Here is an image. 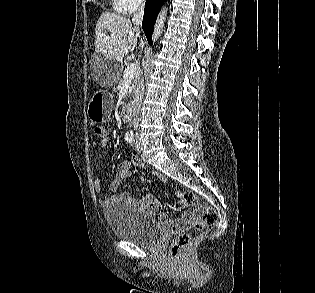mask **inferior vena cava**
Here are the masks:
<instances>
[{"mask_svg": "<svg viewBox=\"0 0 315 293\" xmlns=\"http://www.w3.org/2000/svg\"><path fill=\"white\" fill-rule=\"evenodd\" d=\"M144 15V4L142 3L137 12L134 14L132 18V22L139 30V26L142 24V19ZM134 99H133V127L134 130L137 131L138 123L140 120V108L144 95V81L138 75L136 80L134 81Z\"/></svg>", "mask_w": 315, "mask_h": 293, "instance_id": "1", "label": "inferior vena cava"}]
</instances>
